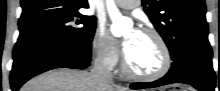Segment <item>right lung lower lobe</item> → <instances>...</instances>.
<instances>
[{"label":"right lung lower lobe","mask_w":220,"mask_h":91,"mask_svg":"<svg viewBox=\"0 0 220 91\" xmlns=\"http://www.w3.org/2000/svg\"><path fill=\"white\" fill-rule=\"evenodd\" d=\"M91 44L73 45L43 32L20 33L13 51L12 91L27 80L55 68L84 69L90 65Z\"/></svg>","instance_id":"obj_1"}]
</instances>
